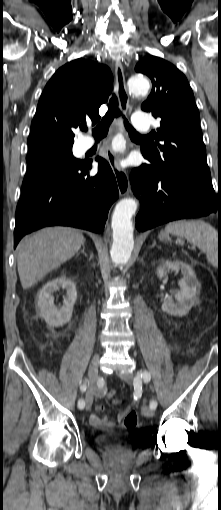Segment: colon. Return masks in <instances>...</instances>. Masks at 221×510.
Instances as JSON below:
<instances>
[{
	"mask_svg": "<svg viewBox=\"0 0 221 510\" xmlns=\"http://www.w3.org/2000/svg\"><path fill=\"white\" fill-rule=\"evenodd\" d=\"M115 394H116V391L114 389H111L108 392V397L109 398H114ZM114 403L115 404H119V401L115 400ZM137 422H138V415H137V413L134 410L129 411L127 413V415L125 416V419H124L125 426L126 427H134L137 424Z\"/></svg>",
	"mask_w": 221,
	"mask_h": 510,
	"instance_id": "colon-1",
	"label": "colon"
}]
</instances>
